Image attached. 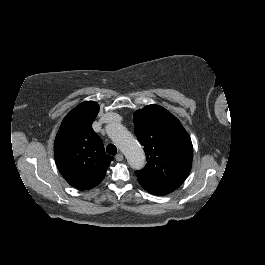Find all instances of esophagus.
I'll return each mask as SVG.
<instances>
[{
    "label": "esophagus",
    "mask_w": 265,
    "mask_h": 265,
    "mask_svg": "<svg viewBox=\"0 0 265 265\" xmlns=\"http://www.w3.org/2000/svg\"><path fill=\"white\" fill-rule=\"evenodd\" d=\"M123 159H124V156H123L122 153H119V154L116 155V160L117 161H122Z\"/></svg>",
    "instance_id": "1"
}]
</instances>
